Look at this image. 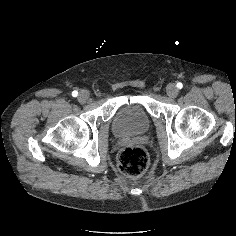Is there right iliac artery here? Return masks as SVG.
<instances>
[{"mask_svg":"<svg viewBox=\"0 0 236 236\" xmlns=\"http://www.w3.org/2000/svg\"><path fill=\"white\" fill-rule=\"evenodd\" d=\"M72 96H73V97H77V96H78V92H77L76 90H74V91L72 92Z\"/></svg>","mask_w":236,"mask_h":236,"instance_id":"1","label":"right iliac artery"}]
</instances>
